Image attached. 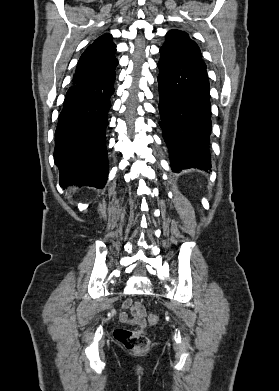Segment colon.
Listing matches in <instances>:
<instances>
[{
	"mask_svg": "<svg viewBox=\"0 0 279 391\" xmlns=\"http://www.w3.org/2000/svg\"><path fill=\"white\" fill-rule=\"evenodd\" d=\"M150 324L158 322V316L151 314L148 317ZM115 339L123 345L127 350L135 352H145L148 350L150 341L145 335V330L138 331L130 330L127 328H118L114 332Z\"/></svg>",
	"mask_w": 279,
	"mask_h": 391,
	"instance_id": "5ec220e1",
	"label": "colon"
}]
</instances>
